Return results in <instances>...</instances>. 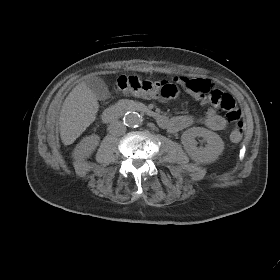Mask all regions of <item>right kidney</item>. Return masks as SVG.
<instances>
[{"label":"right kidney","instance_id":"1","mask_svg":"<svg viewBox=\"0 0 280 280\" xmlns=\"http://www.w3.org/2000/svg\"><path fill=\"white\" fill-rule=\"evenodd\" d=\"M99 136L91 135L83 138V140L78 144L77 151L85 157H89L99 144Z\"/></svg>","mask_w":280,"mask_h":280}]
</instances>
